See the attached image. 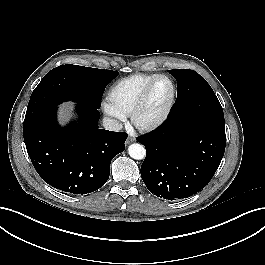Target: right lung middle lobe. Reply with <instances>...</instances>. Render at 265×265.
<instances>
[{
	"label": "right lung middle lobe",
	"mask_w": 265,
	"mask_h": 265,
	"mask_svg": "<svg viewBox=\"0 0 265 265\" xmlns=\"http://www.w3.org/2000/svg\"><path fill=\"white\" fill-rule=\"evenodd\" d=\"M118 72L66 64L52 69L33 91L24 125L48 114L68 100L100 108L105 86Z\"/></svg>",
	"instance_id": "obj_1"
}]
</instances>
